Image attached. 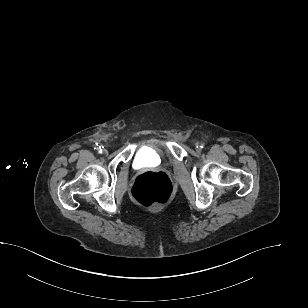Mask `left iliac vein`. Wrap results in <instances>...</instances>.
Returning <instances> with one entry per match:
<instances>
[{"mask_svg":"<svg viewBox=\"0 0 308 308\" xmlns=\"http://www.w3.org/2000/svg\"><path fill=\"white\" fill-rule=\"evenodd\" d=\"M196 150L199 152L200 151V144L199 143H196Z\"/></svg>","mask_w":308,"mask_h":308,"instance_id":"1","label":"left iliac vein"}]
</instances>
